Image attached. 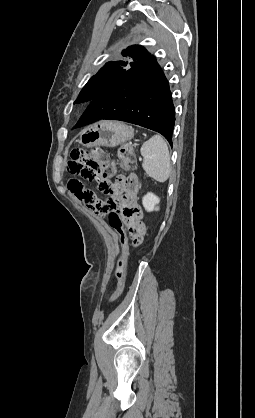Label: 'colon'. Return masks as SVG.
Segmentation results:
<instances>
[{"mask_svg": "<svg viewBox=\"0 0 255 418\" xmlns=\"http://www.w3.org/2000/svg\"><path fill=\"white\" fill-rule=\"evenodd\" d=\"M117 156L123 169H128L134 161L132 148L127 144L119 148ZM70 157L68 170L72 174L79 175L90 182H95L99 190L108 194L109 197L105 201H102L93 191L85 189L79 180L71 179L68 186L74 195L81 199L90 209L95 211L98 216L107 214L111 226L121 233L126 228H144L142 210L138 205L125 211L126 219H122L118 211L119 198L114 193L111 184L112 170L108 164L107 156L100 149L93 148L91 150H84L75 148L71 151ZM121 238V258L118 261L116 270L118 284L109 303L114 302L123 292L126 263H128V257L131 256L129 235L122 234Z\"/></svg>", "mask_w": 255, "mask_h": 418, "instance_id": "1", "label": "colon"}]
</instances>
